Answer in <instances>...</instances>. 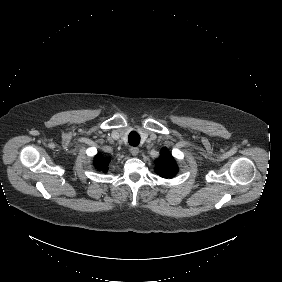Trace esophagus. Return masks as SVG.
Listing matches in <instances>:
<instances>
[{
	"mask_svg": "<svg viewBox=\"0 0 282 282\" xmlns=\"http://www.w3.org/2000/svg\"><path fill=\"white\" fill-rule=\"evenodd\" d=\"M130 153L133 155V156H136L138 155L139 153V149L137 147H131L130 148Z\"/></svg>",
	"mask_w": 282,
	"mask_h": 282,
	"instance_id": "1",
	"label": "esophagus"
}]
</instances>
